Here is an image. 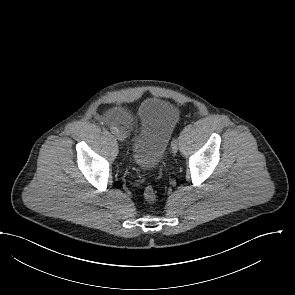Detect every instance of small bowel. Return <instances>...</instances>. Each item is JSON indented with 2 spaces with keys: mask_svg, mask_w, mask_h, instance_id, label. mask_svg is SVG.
<instances>
[{
  "mask_svg": "<svg viewBox=\"0 0 295 295\" xmlns=\"http://www.w3.org/2000/svg\"><path fill=\"white\" fill-rule=\"evenodd\" d=\"M105 122L113 126H121L129 129L134 125V119L130 113L122 109L110 110L104 118Z\"/></svg>",
  "mask_w": 295,
  "mask_h": 295,
  "instance_id": "c3829d8e",
  "label": "small bowel"
}]
</instances>
